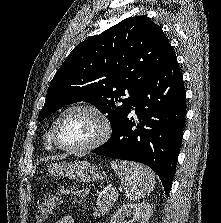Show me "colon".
Segmentation results:
<instances>
[{"label":"colon","instance_id":"obj_1","mask_svg":"<svg viewBox=\"0 0 221 223\" xmlns=\"http://www.w3.org/2000/svg\"><path fill=\"white\" fill-rule=\"evenodd\" d=\"M74 194L77 200L82 201L87 195V190L75 185H61L57 191L49 194L38 202L36 220L38 223L48 221L61 203L63 196Z\"/></svg>","mask_w":221,"mask_h":223}]
</instances>
